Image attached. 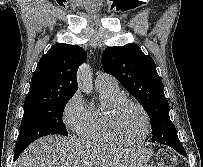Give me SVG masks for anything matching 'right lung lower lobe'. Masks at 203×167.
Segmentation results:
<instances>
[{
    "label": "right lung lower lobe",
    "mask_w": 203,
    "mask_h": 167,
    "mask_svg": "<svg viewBox=\"0 0 203 167\" xmlns=\"http://www.w3.org/2000/svg\"><path fill=\"white\" fill-rule=\"evenodd\" d=\"M24 151V149L20 150L19 152H17L15 155H14V160H16L19 155Z\"/></svg>",
    "instance_id": "right-lung-lower-lobe-1"
}]
</instances>
